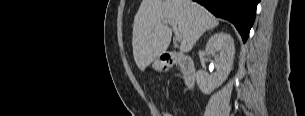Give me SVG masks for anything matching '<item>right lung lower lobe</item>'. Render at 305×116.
Here are the masks:
<instances>
[{
	"mask_svg": "<svg viewBox=\"0 0 305 116\" xmlns=\"http://www.w3.org/2000/svg\"><path fill=\"white\" fill-rule=\"evenodd\" d=\"M205 6L215 16L232 22L246 42L254 23L255 11L260 0H194Z\"/></svg>",
	"mask_w": 305,
	"mask_h": 116,
	"instance_id": "right-lung-lower-lobe-1",
	"label": "right lung lower lobe"
}]
</instances>
